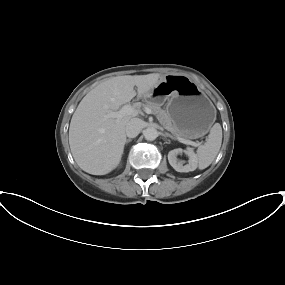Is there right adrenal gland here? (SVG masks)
<instances>
[{"mask_svg": "<svg viewBox=\"0 0 285 285\" xmlns=\"http://www.w3.org/2000/svg\"><path fill=\"white\" fill-rule=\"evenodd\" d=\"M131 141H132L131 139H127V140H126V143H129V142H131Z\"/></svg>", "mask_w": 285, "mask_h": 285, "instance_id": "right-adrenal-gland-1", "label": "right adrenal gland"}]
</instances>
